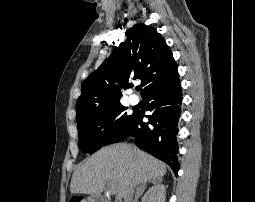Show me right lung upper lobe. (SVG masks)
<instances>
[{"label":"right lung upper lobe","mask_w":255,"mask_h":202,"mask_svg":"<svg viewBox=\"0 0 255 202\" xmlns=\"http://www.w3.org/2000/svg\"><path fill=\"white\" fill-rule=\"evenodd\" d=\"M127 40L83 82L76 104V119L120 103L122 89L131 79L142 80V97L179 78L178 67L163 37L151 26L139 23L126 31Z\"/></svg>","instance_id":"cb5924a9"}]
</instances>
